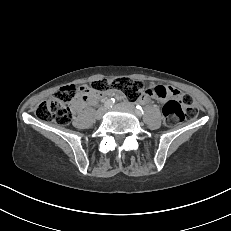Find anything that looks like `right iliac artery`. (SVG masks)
Returning a JSON list of instances; mask_svg holds the SVG:
<instances>
[{
  "label": "right iliac artery",
  "mask_w": 231,
  "mask_h": 231,
  "mask_svg": "<svg viewBox=\"0 0 231 231\" xmlns=\"http://www.w3.org/2000/svg\"><path fill=\"white\" fill-rule=\"evenodd\" d=\"M114 103H115V99H114V98H111V99H109V100H107V101L105 102L104 106H105L106 108H111V107L114 105Z\"/></svg>",
  "instance_id": "82829eb1"
}]
</instances>
